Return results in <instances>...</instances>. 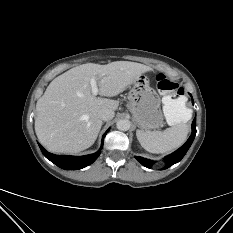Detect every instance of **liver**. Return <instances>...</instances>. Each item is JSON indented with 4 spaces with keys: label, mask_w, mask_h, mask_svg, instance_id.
<instances>
[{
    "label": "liver",
    "mask_w": 233,
    "mask_h": 233,
    "mask_svg": "<svg viewBox=\"0 0 233 233\" xmlns=\"http://www.w3.org/2000/svg\"><path fill=\"white\" fill-rule=\"evenodd\" d=\"M151 70L129 61L87 63L56 77L36 104L35 132L39 141L54 153H77L89 148L102 127L98 112L115 111L119 105L116 100L94 96L91 78L97 80L101 96L113 97Z\"/></svg>",
    "instance_id": "obj_1"
}]
</instances>
